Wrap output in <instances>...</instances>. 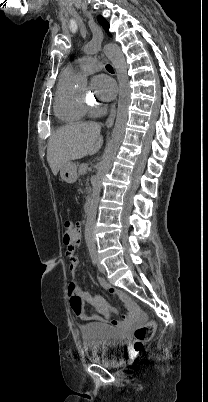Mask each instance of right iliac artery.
<instances>
[{"mask_svg": "<svg viewBox=\"0 0 208 402\" xmlns=\"http://www.w3.org/2000/svg\"><path fill=\"white\" fill-rule=\"evenodd\" d=\"M91 261H92L93 265L97 264V256L95 254L91 255Z\"/></svg>", "mask_w": 208, "mask_h": 402, "instance_id": "obj_1", "label": "right iliac artery"}]
</instances>
